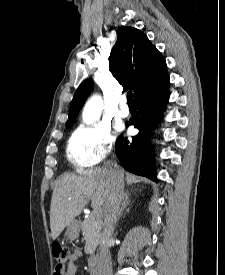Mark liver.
I'll list each match as a JSON object with an SVG mask.
<instances>
[{
	"label": "liver",
	"instance_id": "6515ba94",
	"mask_svg": "<svg viewBox=\"0 0 225 275\" xmlns=\"http://www.w3.org/2000/svg\"><path fill=\"white\" fill-rule=\"evenodd\" d=\"M119 171L128 184L136 182L137 178L134 175ZM111 172V167L84 170L78 175L66 174L56 182L50 206L52 239L55 240L64 228L81 214L90 200L94 209L102 206L105 208Z\"/></svg>",
	"mask_w": 225,
	"mask_h": 275
}]
</instances>
